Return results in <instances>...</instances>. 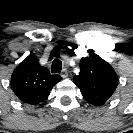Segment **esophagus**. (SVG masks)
I'll list each match as a JSON object with an SVG mask.
<instances>
[{
	"instance_id": "1",
	"label": "esophagus",
	"mask_w": 133,
	"mask_h": 133,
	"mask_svg": "<svg viewBox=\"0 0 133 133\" xmlns=\"http://www.w3.org/2000/svg\"><path fill=\"white\" fill-rule=\"evenodd\" d=\"M61 76H62V78H67L68 77V71H67V69H63L62 70Z\"/></svg>"
}]
</instances>
